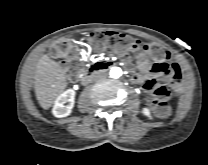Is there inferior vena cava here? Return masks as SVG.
<instances>
[{
    "label": "inferior vena cava",
    "instance_id": "602c4592",
    "mask_svg": "<svg viewBox=\"0 0 208 165\" xmlns=\"http://www.w3.org/2000/svg\"><path fill=\"white\" fill-rule=\"evenodd\" d=\"M106 78V74L104 72H98L93 76V79L96 81H100Z\"/></svg>",
    "mask_w": 208,
    "mask_h": 165
}]
</instances>
